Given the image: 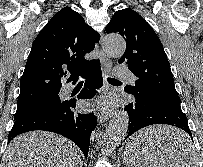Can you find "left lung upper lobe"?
Here are the masks:
<instances>
[{
  "instance_id": "left-lung-upper-lobe-1",
  "label": "left lung upper lobe",
  "mask_w": 203,
  "mask_h": 167,
  "mask_svg": "<svg viewBox=\"0 0 203 167\" xmlns=\"http://www.w3.org/2000/svg\"><path fill=\"white\" fill-rule=\"evenodd\" d=\"M126 39V51L118 60L137 77L124 91L135 96L156 93L160 98L179 97L163 45L153 28L135 11H116L105 28Z\"/></svg>"
}]
</instances>
